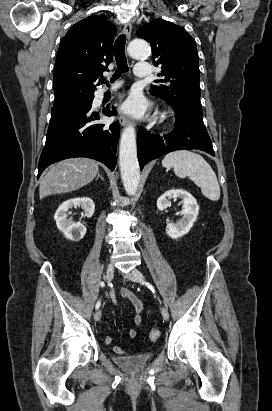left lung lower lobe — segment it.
I'll return each mask as SVG.
<instances>
[{"instance_id":"1","label":"left lung lower lobe","mask_w":272,"mask_h":411,"mask_svg":"<svg viewBox=\"0 0 272 411\" xmlns=\"http://www.w3.org/2000/svg\"><path fill=\"white\" fill-rule=\"evenodd\" d=\"M182 149H199L215 156L203 119L176 115L175 129L164 136L151 134L143 127L138 130L137 153L141 170L147 161Z\"/></svg>"}]
</instances>
